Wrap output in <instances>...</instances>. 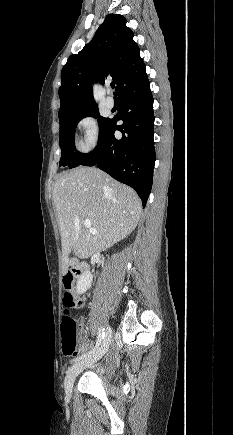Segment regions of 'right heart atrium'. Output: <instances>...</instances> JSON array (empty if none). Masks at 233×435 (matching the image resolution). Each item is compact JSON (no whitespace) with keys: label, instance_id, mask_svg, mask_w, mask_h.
Masks as SVG:
<instances>
[{"label":"right heart atrium","instance_id":"right-heart-atrium-1","mask_svg":"<svg viewBox=\"0 0 233 435\" xmlns=\"http://www.w3.org/2000/svg\"><path fill=\"white\" fill-rule=\"evenodd\" d=\"M78 128L82 132L83 138L79 142L82 151L93 149L99 139L98 123L94 116L87 115L79 120Z\"/></svg>","mask_w":233,"mask_h":435}]
</instances>
